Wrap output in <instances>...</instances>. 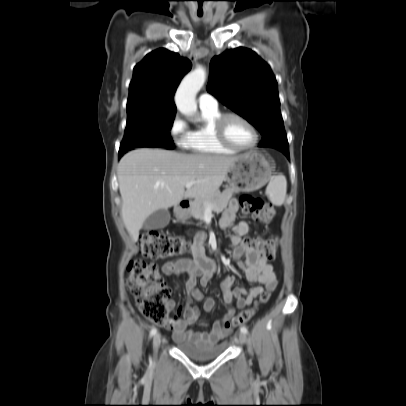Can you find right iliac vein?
<instances>
[{"label": "right iliac vein", "instance_id": "63e3f726", "mask_svg": "<svg viewBox=\"0 0 406 406\" xmlns=\"http://www.w3.org/2000/svg\"><path fill=\"white\" fill-rule=\"evenodd\" d=\"M161 342H162L161 334L156 333L154 338H153V349H154L155 354L157 353Z\"/></svg>", "mask_w": 406, "mask_h": 406}]
</instances>
